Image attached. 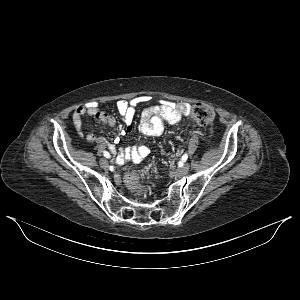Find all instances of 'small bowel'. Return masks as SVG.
I'll return each mask as SVG.
<instances>
[{
    "label": "small bowel",
    "instance_id": "c3829d8e",
    "mask_svg": "<svg viewBox=\"0 0 300 300\" xmlns=\"http://www.w3.org/2000/svg\"><path fill=\"white\" fill-rule=\"evenodd\" d=\"M148 100L145 96H138L130 100H119L117 102L118 113L125 125V132L132 131V124L136 114V108L139 104ZM191 106L185 102L160 101L159 104L145 108L140 117L138 131L147 136H159L163 133L165 122L176 124L181 121L182 117L190 113ZM84 115L94 117L99 122L108 127H115L116 118L102 110L96 102H90L80 105L73 113V124L77 134L81 138H86L89 142L98 141L103 143L102 138H97L93 133L84 135L82 131V118ZM110 150L115 153L113 145H109ZM149 148L145 145L126 147L121 149L116 158V163L122 165L125 161L134 162L142 161L149 154Z\"/></svg>",
    "mask_w": 300,
    "mask_h": 300
}]
</instances>
